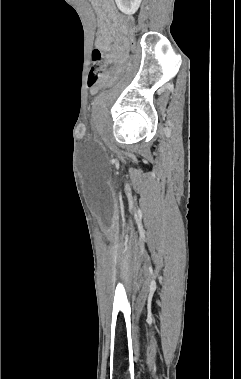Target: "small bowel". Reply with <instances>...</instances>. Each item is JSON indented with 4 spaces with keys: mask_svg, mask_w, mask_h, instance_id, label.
Returning a JSON list of instances; mask_svg holds the SVG:
<instances>
[{
    "mask_svg": "<svg viewBox=\"0 0 241 379\" xmlns=\"http://www.w3.org/2000/svg\"><path fill=\"white\" fill-rule=\"evenodd\" d=\"M98 14L99 30L96 46L107 51V63H112L120 57L124 39L115 41V36H122L127 27V18L117 13L112 6V0H94ZM96 93V89H91Z\"/></svg>",
    "mask_w": 241,
    "mask_h": 379,
    "instance_id": "obj_1",
    "label": "small bowel"
}]
</instances>
